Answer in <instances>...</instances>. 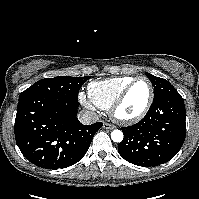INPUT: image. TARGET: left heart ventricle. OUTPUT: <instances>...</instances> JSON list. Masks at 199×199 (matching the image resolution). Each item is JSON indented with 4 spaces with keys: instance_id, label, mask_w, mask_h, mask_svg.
I'll list each match as a JSON object with an SVG mask.
<instances>
[{
    "instance_id": "b2bd125f",
    "label": "left heart ventricle",
    "mask_w": 199,
    "mask_h": 199,
    "mask_svg": "<svg viewBox=\"0 0 199 199\" xmlns=\"http://www.w3.org/2000/svg\"><path fill=\"white\" fill-rule=\"evenodd\" d=\"M150 94V87L146 81H138L129 91L119 113L122 116H134L142 111Z\"/></svg>"
}]
</instances>
